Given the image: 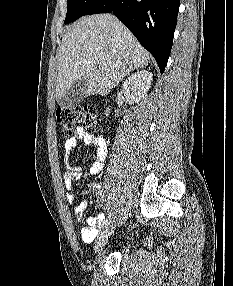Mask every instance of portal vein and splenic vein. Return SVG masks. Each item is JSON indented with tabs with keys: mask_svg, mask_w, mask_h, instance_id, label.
<instances>
[{
	"mask_svg": "<svg viewBox=\"0 0 233 286\" xmlns=\"http://www.w3.org/2000/svg\"><path fill=\"white\" fill-rule=\"evenodd\" d=\"M104 65H105L104 63H99V68H100V69H103V68H104Z\"/></svg>",
	"mask_w": 233,
	"mask_h": 286,
	"instance_id": "portal-vein-and-splenic-vein-1",
	"label": "portal vein and splenic vein"
}]
</instances>
